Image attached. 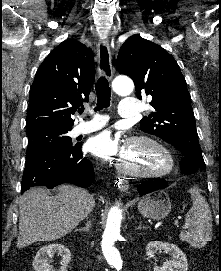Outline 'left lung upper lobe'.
<instances>
[{"label":"left lung upper lobe","instance_id":"5c2ea615","mask_svg":"<svg viewBox=\"0 0 221 271\" xmlns=\"http://www.w3.org/2000/svg\"><path fill=\"white\" fill-rule=\"evenodd\" d=\"M116 68L133 79L140 100L152 96L154 112L140 121L141 130L162 138L205 170L190 94L176 60L161 46L134 35L121 46Z\"/></svg>","mask_w":221,"mask_h":271}]
</instances>
